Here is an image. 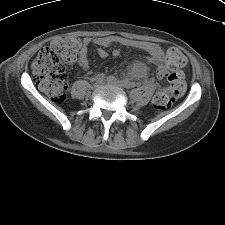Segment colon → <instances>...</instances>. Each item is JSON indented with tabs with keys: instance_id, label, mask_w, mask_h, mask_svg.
Returning a JSON list of instances; mask_svg holds the SVG:
<instances>
[{
	"instance_id": "1",
	"label": "colon",
	"mask_w": 225,
	"mask_h": 225,
	"mask_svg": "<svg viewBox=\"0 0 225 225\" xmlns=\"http://www.w3.org/2000/svg\"><path fill=\"white\" fill-rule=\"evenodd\" d=\"M79 41L73 36H60L39 52L32 64V75L40 90L55 102L66 97L69 82L65 64H72L78 58ZM186 56L178 49L171 48L165 56V65L157 74L166 78L168 86L160 89L153 97V106L158 110L171 108L183 94L185 77L182 68L186 65Z\"/></svg>"
}]
</instances>
